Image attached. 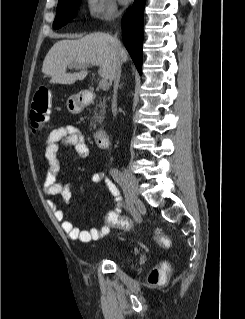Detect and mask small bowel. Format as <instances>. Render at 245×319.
Instances as JSON below:
<instances>
[{"label":"small bowel","instance_id":"1","mask_svg":"<svg viewBox=\"0 0 245 319\" xmlns=\"http://www.w3.org/2000/svg\"><path fill=\"white\" fill-rule=\"evenodd\" d=\"M45 144V157L48 162V167L45 173L42 192L46 197L59 195L65 203H69L76 189L72 184L59 180L61 175V161L58 156L59 150L61 147L70 146L73 148L74 156L79 159H85L89 154V147L86 139L76 127L72 125H62L48 134ZM90 182L94 184L105 183L112 193V189H110L111 181L104 173H93L90 176ZM114 196L116 206L112 212L118 214L121 212L122 202L119 195ZM48 206L52 210L55 219L60 223L63 232L71 240L88 243L104 238L111 230L108 224H103L99 228L80 230L74 226L71 221L65 219L64 212L59 209L54 200H49Z\"/></svg>","mask_w":245,"mask_h":319}]
</instances>
